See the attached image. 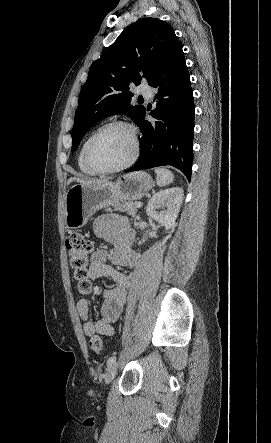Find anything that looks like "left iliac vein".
Masks as SVG:
<instances>
[{
	"mask_svg": "<svg viewBox=\"0 0 271 443\" xmlns=\"http://www.w3.org/2000/svg\"><path fill=\"white\" fill-rule=\"evenodd\" d=\"M117 370H118V364L117 363H113L108 368V371H107V373L105 375V384H110L114 380V378H115V376L117 374Z\"/></svg>",
	"mask_w": 271,
	"mask_h": 443,
	"instance_id": "obj_1",
	"label": "left iliac vein"
}]
</instances>
